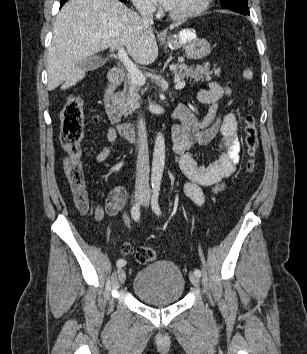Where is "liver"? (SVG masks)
<instances>
[{
	"instance_id": "obj_1",
	"label": "liver",
	"mask_w": 307,
	"mask_h": 354,
	"mask_svg": "<svg viewBox=\"0 0 307 354\" xmlns=\"http://www.w3.org/2000/svg\"><path fill=\"white\" fill-rule=\"evenodd\" d=\"M107 48H126L142 65L158 57L152 27L144 25L140 16L119 0H69L53 27L47 89L52 91L61 85L66 90L76 85L86 75L79 63Z\"/></svg>"
}]
</instances>
